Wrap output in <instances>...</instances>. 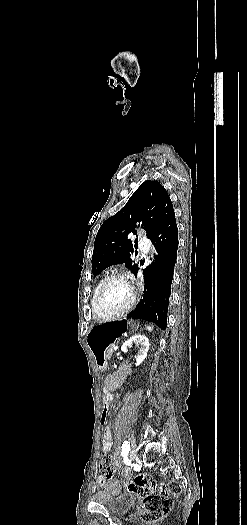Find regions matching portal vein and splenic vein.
I'll return each mask as SVG.
<instances>
[{"instance_id": "18ae733b", "label": "portal vein and splenic vein", "mask_w": 247, "mask_h": 525, "mask_svg": "<svg viewBox=\"0 0 247 525\" xmlns=\"http://www.w3.org/2000/svg\"><path fill=\"white\" fill-rule=\"evenodd\" d=\"M113 350H119L118 345H115V347H113Z\"/></svg>"}]
</instances>
